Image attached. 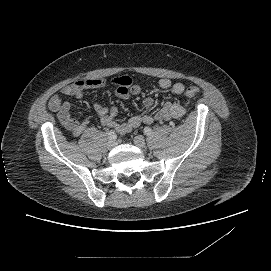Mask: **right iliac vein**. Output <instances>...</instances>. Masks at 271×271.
<instances>
[{
  "instance_id": "obj_1",
  "label": "right iliac vein",
  "mask_w": 271,
  "mask_h": 271,
  "mask_svg": "<svg viewBox=\"0 0 271 271\" xmlns=\"http://www.w3.org/2000/svg\"><path fill=\"white\" fill-rule=\"evenodd\" d=\"M116 145V141L115 140H110L108 143H107V148L108 149H112L114 148Z\"/></svg>"
}]
</instances>
